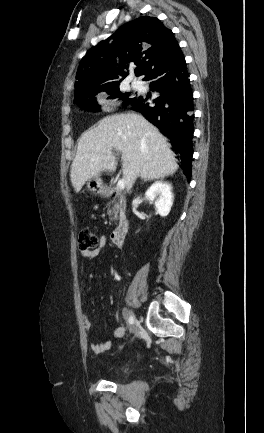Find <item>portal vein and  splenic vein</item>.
Wrapping results in <instances>:
<instances>
[{"label":"portal vein and splenic vein","mask_w":264,"mask_h":433,"mask_svg":"<svg viewBox=\"0 0 264 433\" xmlns=\"http://www.w3.org/2000/svg\"><path fill=\"white\" fill-rule=\"evenodd\" d=\"M125 186H126V182H125L124 179H121V180L118 181L117 188L119 190H124Z\"/></svg>","instance_id":"obj_1"}]
</instances>
